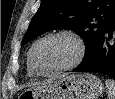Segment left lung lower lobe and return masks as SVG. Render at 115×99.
<instances>
[{"label":"left lung lower lobe","instance_id":"obj_1","mask_svg":"<svg viewBox=\"0 0 115 99\" xmlns=\"http://www.w3.org/2000/svg\"><path fill=\"white\" fill-rule=\"evenodd\" d=\"M115 18L105 31L99 44L83 59L73 72H96L115 79ZM114 40V43L112 41Z\"/></svg>","mask_w":115,"mask_h":99}]
</instances>
